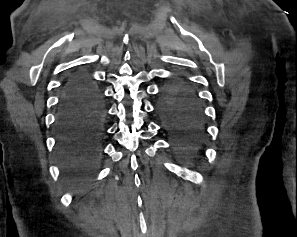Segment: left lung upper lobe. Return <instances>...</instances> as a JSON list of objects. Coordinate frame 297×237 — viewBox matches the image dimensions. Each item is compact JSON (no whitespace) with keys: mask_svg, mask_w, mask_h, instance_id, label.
I'll return each instance as SVG.
<instances>
[{"mask_svg":"<svg viewBox=\"0 0 297 237\" xmlns=\"http://www.w3.org/2000/svg\"><path fill=\"white\" fill-rule=\"evenodd\" d=\"M180 101L198 102V96L186 81L177 80L167 87L162 104H173Z\"/></svg>","mask_w":297,"mask_h":237,"instance_id":"left-lung-upper-lobe-1","label":"left lung upper lobe"}]
</instances>
